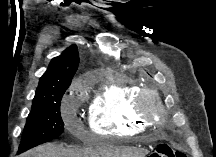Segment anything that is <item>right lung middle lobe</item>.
Segmentation results:
<instances>
[{
	"label": "right lung middle lobe",
	"instance_id": "1",
	"mask_svg": "<svg viewBox=\"0 0 216 157\" xmlns=\"http://www.w3.org/2000/svg\"><path fill=\"white\" fill-rule=\"evenodd\" d=\"M68 87L37 103H33L28 115L18 153L48 142L64 131L60 115L61 99Z\"/></svg>",
	"mask_w": 216,
	"mask_h": 157
}]
</instances>
